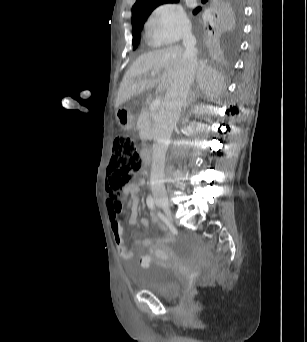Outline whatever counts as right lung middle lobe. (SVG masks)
Instances as JSON below:
<instances>
[{
    "instance_id": "right-lung-middle-lobe-1",
    "label": "right lung middle lobe",
    "mask_w": 307,
    "mask_h": 342,
    "mask_svg": "<svg viewBox=\"0 0 307 342\" xmlns=\"http://www.w3.org/2000/svg\"><path fill=\"white\" fill-rule=\"evenodd\" d=\"M140 33L133 36V49H136L139 44Z\"/></svg>"
}]
</instances>
